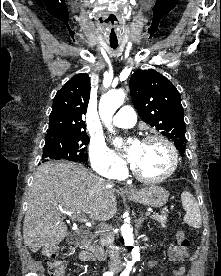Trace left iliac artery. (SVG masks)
Instances as JSON below:
<instances>
[{"mask_svg": "<svg viewBox=\"0 0 221 276\" xmlns=\"http://www.w3.org/2000/svg\"><path fill=\"white\" fill-rule=\"evenodd\" d=\"M129 271L130 269L125 270L124 272L121 273L120 276H129Z\"/></svg>", "mask_w": 221, "mask_h": 276, "instance_id": "left-iliac-artery-1", "label": "left iliac artery"}]
</instances>
